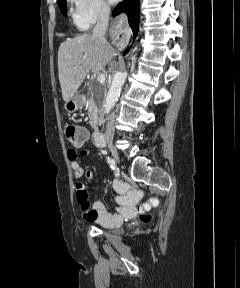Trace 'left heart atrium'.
I'll return each mask as SVG.
<instances>
[{
  "label": "left heart atrium",
  "mask_w": 240,
  "mask_h": 288,
  "mask_svg": "<svg viewBox=\"0 0 240 288\" xmlns=\"http://www.w3.org/2000/svg\"><path fill=\"white\" fill-rule=\"evenodd\" d=\"M110 3H115L117 2L118 0H108Z\"/></svg>",
  "instance_id": "1"
}]
</instances>
